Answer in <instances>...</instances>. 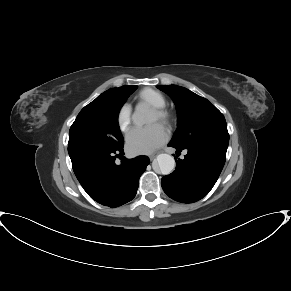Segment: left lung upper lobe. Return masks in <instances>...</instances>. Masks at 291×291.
Wrapping results in <instances>:
<instances>
[{
	"label": "left lung upper lobe",
	"mask_w": 291,
	"mask_h": 291,
	"mask_svg": "<svg viewBox=\"0 0 291 291\" xmlns=\"http://www.w3.org/2000/svg\"><path fill=\"white\" fill-rule=\"evenodd\" d=\"M177 109L178 123L170 145L186 147L196 142L229 141L223 114L207 99L176 85H160Z\"/></svg>",
	"instance_id": "5c2ea615"
}]
</instances>
